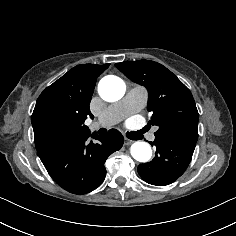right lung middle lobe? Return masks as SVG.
Instances as JSON below:
<instances>
[{"label": "right lung middle lobe", "mask_w": 236, "mask_h": 236, "mask_svg": "<svg viewBox=\"0 0 236 236\" xmlns=\"http://www.w3.org/2000/svg\"><path fill=\"white\" fill-rule=\"evenodd\" d=\"M88 131L84 121L70 122V123H54L47 127L46 137L48 141L71 137L83 134Z\"/></svg>", "instance_id": "obj_1"}]
</instances>
